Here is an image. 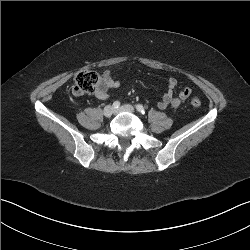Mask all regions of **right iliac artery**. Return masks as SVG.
<instances>
[{"mask_svg": "<svg viewBox=\"0 0 250 250\" xmlns=\"http://www.w3.org/2000/svg\"><path fill=\"white\" fill-rule=\"evenodd\" d=\"M119 106H120V102H119V101H115V102L113 103V108H114V109H117Z\"/></svg>", "mask_w": 250, "mask_h": 250, "instance_id": "82829eb1", "label": "right iliac artery"}]
</instances>
